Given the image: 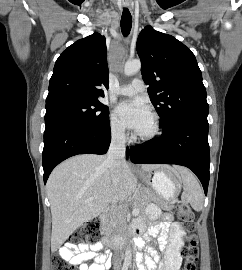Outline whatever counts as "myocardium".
<instances>
[{
    "label": "myocardium",
    "instance_id": "f54148a6",
    "mask_svg": "<svg viewBox=\"0 0 242 270\" xmlns=\"http://www.w3.org/2000/svg\"><path fill=\"white\" fill-rule=\"evenodd\" d=\"M152 127L151 130L146 134H136V139L141 142H152L156 140L161 134V123L160 119L156 114L151 115Z\"/></svg>",
    "mask_w": 242,
    "mask_h": 270
}]
</instances>
